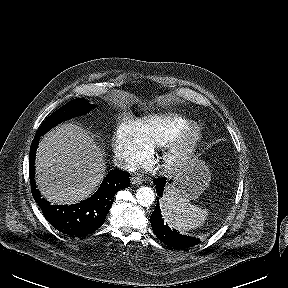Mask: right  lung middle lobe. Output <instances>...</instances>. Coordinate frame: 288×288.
Returning a JSON list of instances; mask_svg holds the SVG:
<instances>
[{"instance_id":"dd1d6c3e","label":"right lung middle lobe","mask_w":288,"mask_h":288,"mask_svg":"<svg viewBox=\"0 0 288 288\" xmlns=\"http://www.w3.org/2000/svg\"><path fill=\"white\" fill-rule=\"evenodd\" d=\"M94 107L95 105L88 103L87 100L83 98L71 100L63 107L59 108L57 111L51 114L40 126L36 135L41 136L58 123L74 116L84 114Z\"/></svg>"}]
</instances>
